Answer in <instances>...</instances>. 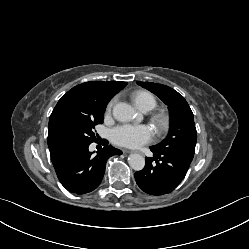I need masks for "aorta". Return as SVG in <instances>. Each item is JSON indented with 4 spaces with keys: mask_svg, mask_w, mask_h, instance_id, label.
Listing matches in <instances>:
<instances>
[{
    "mask_svg": "<svg viewBox=\"0 0 249 249\" xmlns=\"http://www.w3.org/2000/svg\"><path fill=\"white\" fill-rule=\"evenodd\" d=\"M113 116L117 121L128 122L134 119L135 110L134 108L127 103H117L113 107ZM128 163L132 169L135 171H140L145 166V159L139 154H131L128 157Z\"/></svg>",
    "mask_w": 249,
    "mask_h": 249,
    "instance_id": "obj_1",
    "label": "aorta"
}]
</instances>
